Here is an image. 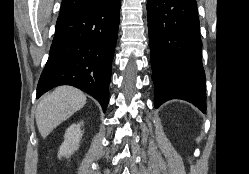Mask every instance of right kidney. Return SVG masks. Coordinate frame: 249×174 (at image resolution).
<instances>
[{"label":"right kidney","mask_w":249,"mask_h":174,"mask_svg":"<svg viewBox=\"0 0 249 174\" xmlns=\"http://www.w3.org/2000/svg\"><path fill=\"white\" fill-rule=\"evenodd\" d=\"M83 122L78 124H72L65 132L64 142L59 148L58 157L68 158L74 151L79 148V142L82 137V131L80 129Z\"/></svg>","instance_id":"obj_1"}]
</instances>
